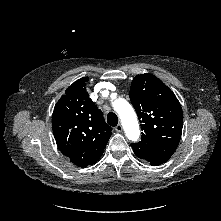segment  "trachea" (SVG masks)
Instances as JSON below:
<instances>
[{"instance_id":"obj_1","label":"trachea","mask_w":221,"mask_h":221,"mask_svg":"<svg viewBox=\"0 0 221 221\" xmlns=\"http://www.w3.org/2000/svg\"><path fill=\"white\" fill-rule=\"evenodd\" d=\"M107 123L110 125V126H117L118 124V117L115 113H112L110 112L108 115H107Z\"/></svg>"}]
</instances>
